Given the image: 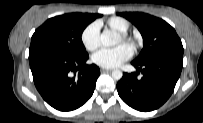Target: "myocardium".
I'll use <instances>...</instances> for the list:
<instances>
[{"label":"myocardium","instance_id":"1","mask_svg":"<svg viewBox=\"0 0 203 123\" xmlns=\"http://www.w3.org/2000/svg\"><path fill=\"white\" fill-rule=\"evenodd\" d=\"M121 38H122L123 41L128 43L131 47L136 46V40H135V38L133 36L128 35L127 33H121Z\"/></svg>","mask_w":203,"mask_h":123}]
</instances>
